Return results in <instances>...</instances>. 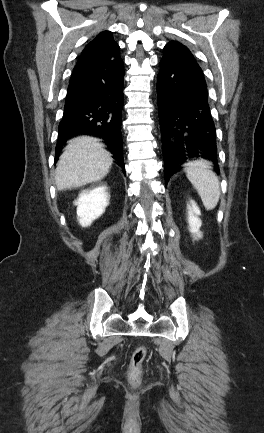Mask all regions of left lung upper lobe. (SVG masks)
Wrapping results in <instances>:
<instances>
[{"mask_svg": "<svg viewBox=\"0 0 264 433\" xmlns=\"http://www.w3.org/2000/svg\"><path fill=\"white\" fill-rule=\"evenodd\" d=\"M164 51L165 52L182 51V52H187V53L191 54V52L188 50V48L186 46L182 45L181 43H179L178 41L168 42L164 47Z\"/></svg>", "mask_w": 264, "mask_h": 433, "instance_id": "left-lung-upper-lobe-1", "label": "left lung upper lobe"}]
</instances>
